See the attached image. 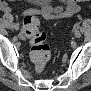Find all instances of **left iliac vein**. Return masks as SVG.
Returning a JSON list of instances; mask_svg holds the SVG:
<instances>
[{
	"label": "left iliac vein",
	"instance_id": "obj_1",
	"mask_svg": "<svg viewBox=\"0 0 91 91\" xmlns=\"http://www.w3.org/2000/svg\"><path fill=\"white\" fill-rule=\"evenodd\" d=\"M74 35H75V37H80L81 36V32L78 30V29H76L75 31H74Z\"/></svg>",
	"mask_w": 91,
	"mask_h": 91
}]
</instances>
